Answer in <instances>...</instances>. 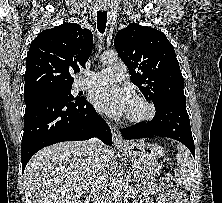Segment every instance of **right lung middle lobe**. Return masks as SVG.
<instances>
[{
  "label": "right lung middle lobe",
  "instance_id": "obj_1",
  "mask_svg": "<svg viewBox=\"0 0 222 203\" xmlns=\"http://www.w3.org/2000/svg\"><path fill=\"white\" fill-rule=\"evenodd\" d=\"M72 86L47 88L42 90H37L33 92L24 93V101L28 103L33 100L44 99V98H60L67 101H76L80 97L74 98L71 95Z\"/></svg>",
  "mask_w": 222,
  "mask_h": 203
}]
</instances>
